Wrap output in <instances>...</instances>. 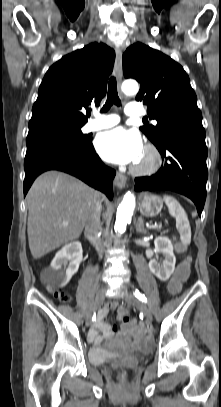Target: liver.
I'll return each mask as SVG.
<instances>
[{"instance_id": "6515ba94", "label": "liver", "mask_w": 221, "mask_h": 407, "mask_svg": "<svg viewBox=\"0 0 221 407\" xmlns=\"http://www.w3.org/2000/svg\"><path fill=\"white\" fill-rule=\"evenodd\" d=\"M98 197L95 190L66 173L47 171L38 176L26 196L33 258L79 238Z\"/></svg>"}]
</instances>
